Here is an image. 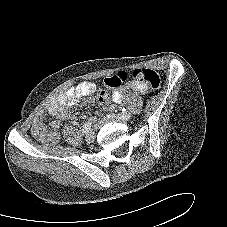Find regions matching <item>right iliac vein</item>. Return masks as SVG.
<instances>
[{
    "mask_svg": "<svg viewBox=\"0 0 227 227\" xmlns=\"http://www.w3.org/2000/svg\"><path fill=\"white\" fill-rule=\"evenodd\" d=\"M95 137H96L95 133L91 131V132H88L85 138L88 143H93L95 141Z\"/></svg>",
    "mask_w": 227,
    "mask_h": 227,
    "instance_id": "63e3f726",
    "label": "right iliac vein"
}]
</instances>
